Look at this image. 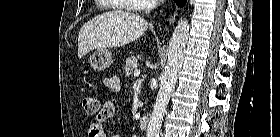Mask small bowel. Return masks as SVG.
Here are the masks:
<instances>
[{
  "label": "small bowel",
  "instance_id": "obj_1",
  "mask_svg": "<svg viewBox=\"0 0 280 137\" xmlns=\"http://www.w3.org/2000/svg\"><path fill=\"white\" fill-rule=\"evenodd\" d=\"M105 87L110 92H117L120 89L118 77H110L104 80ZM115 112V104L112 101L105 102L96 118L87 124L89 137H107L103 123L111 118Z\"/></svg>",
  "mask_w": 280,
  "mask_h": 137
}]
</instances>
